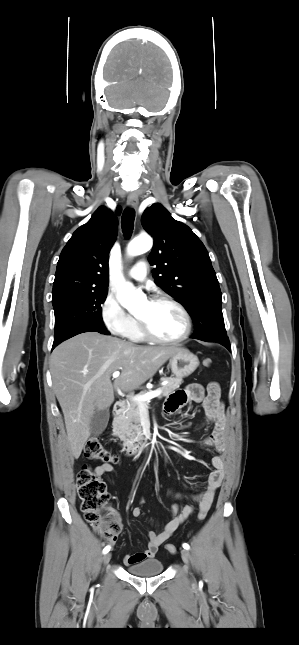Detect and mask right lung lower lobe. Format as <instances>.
<instances>
[{
    "label": "right lung lower lobe",
    "mask_w": 299,
    "mask_h": 645,
    "mask_svg": "<svg viewBox=\"0 0 299 645\" xmlns=\"http://www.w3.org/2000/svg\"><path fill=\"white\" fill-rule=\"evenodd\" d=\"M84 332H99V333H101V334L109 335V332H108L107 330H101V329H95V328H81V329H79V330H77V331H74L73 333H71V334L67 335V336H66L65 338H63L62 340L57 341V342H54V343H53V348H52V349H54V348H55L59 343H61L62 341L66 340V339H68V338H71V337H73V336H75V335H77V334L84 333Z\"/></svg>",
    "instance_id": "right-lung-lower-lobe-1"
}]
</instances>
